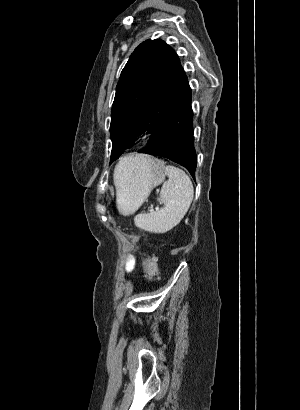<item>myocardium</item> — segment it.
I'll return each mask as SVG.
<instances>
[{
	"instance_id": "obj_1",
	"label": "myocardium",
	"mask_w": 300,
	"mask_h": 410,
	"mask_svg": "<svg viewBox=\"0 0 300 410\" xmlns=\"http://www.w3.org/2000/svg\"><path fill=\"white\" fill-rule=\"evenodd\" d=\"M141 137L138 135V136H135L134 137V140H139Z\"/></svg>"
}]
</instances>
